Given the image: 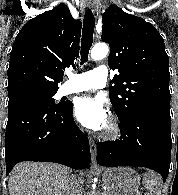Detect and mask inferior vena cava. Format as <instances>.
I'll list each match as a JSON object with an SVG mask.
<instances>
[{
  "label": "inferior vena cava",
  "mask_w": 178,
  "mask_h": 195,
  "mask_svg": "<svg viewBox=\"0 0 178 195\" xmlns=\"http://www.w3.org/2000/svg\"><path fill=\"white\" fill-rule=\"evenodd\" d=\"M82 188L76 178H72L70 195H81Z\"/></svg>",
  "instance_id": "obj_1"
}]
</instances>
